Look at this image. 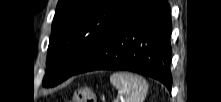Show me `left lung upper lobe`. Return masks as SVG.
I'll return each mask as SVG.
<instances>
[{
	"label": "left lung upper lobe",
	"instance_id": "left-lung-upper-lobe-1",
	"mask_svg": "<svg viewBox=\"0 0 221 102\" xmlns=\"http://www.w3.org/2000/svg\"><path fill=\"white\" fill-rule=\"evenodd\" d=\"M132 0H59L52 24L43 86L72 76Z\"/></svg>",
	"mask_w": 221,
	"mask_h": 102
}]
</instances>
